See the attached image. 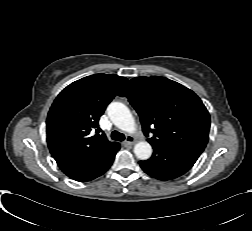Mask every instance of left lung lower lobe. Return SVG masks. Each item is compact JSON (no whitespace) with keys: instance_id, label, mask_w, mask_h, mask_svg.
I'll use <instances>...</instances> for the list:
<instances>
[{"instance_id":"0a47b994","label":"left lung lower lobe","mask_w":252,"mask_h":231,"mask_svg":"<svg viewBox=\"0 0 252 231\" xmlns=\"http://www.w3.org/2000/svg\"><path fill=\"white\" fill-rule=\"evenodd\" d=\"M151 159L140 161L141 168L150 176L159 180L177 178L186 173L202 152L176 145H152Z\"/></svg>"}]
</instances>
